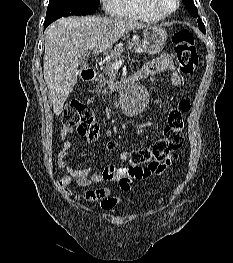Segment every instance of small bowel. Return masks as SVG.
<instances>
[{
    "label": "small bowel",
    "instance_id": "obj_1",
    "mask_svg": "<svg viewBox=\"0 0 233 263\" xmlns=\"http://www.w3.org/2000/svg\"><path fill=\"white\" fill-rule=\"evenodd\" d=\"M141 71L146 77L168 72L169 81L173 86L179 87L182 83L180 75L175 70L173 59L169 54H162L158 58L146 63ZM72 133L73 130L67 127H64L61 131L62 146L59 151L57 163L60 168L67 172V176L60 181L61 186H66L71 182L72 178H75L82 187H91L103 183H118L119 189L127 192L130 190L132 180L146 178L154 172L153 168H144L141 176L134 177L122 174L120 172L121 166L115 165H103L100 170L94 166L78 168L67 161L72 149V141L67 137ZM83 199L87 202L97 201L100 203L102 210L112 211L120 202L121 197L114 188L102 186L85 191Z\"/></svg>",
    "mask_w": 233,
    "mask_h": 263
}]
</instances>
